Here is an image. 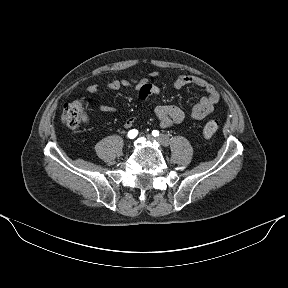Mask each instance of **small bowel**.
I'll use <instances>...</instances> for the list:
<instances>
[{"instance_id": "1", "label": "small bowel", "mask_w": 288, "mask_h": 288, "mask_svg": "<svg viewBox=\"0 0 288 288\" xmlns=\"http://www.w3.org/2000/svg\"><path fill=\"white\" fill-rule=\"evenodd\" d=\"M157 72H151L150 77H158ZM195 86L205 92L200 100L191 108L188 113L173 105H159L155 108V114L160 122V126L168 128L176 124L182 123L186 118L191 120H201L209 115L219 102V93L217 90L204 79L194 75H178L173 78V86L176 89H181L184 86ZM106 87L111 90H117L122 87L132 88L138 92L141 101H145L148 97L159 95L161 89L149 82L148 79L143 78L140 80L125 78V79H112L106 83ZM87 92L91 95L98 94V85H91L87 88ZM101 111L108 114L115 113L116 109L105 103H98ZM138 115L130 117L125 120L124 127L127 129L133 128L137 122Z\"/></svg>"}]
</instances>
